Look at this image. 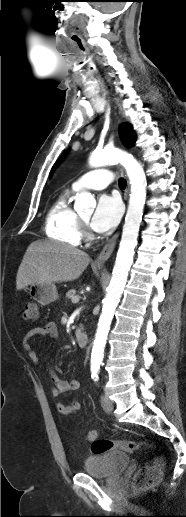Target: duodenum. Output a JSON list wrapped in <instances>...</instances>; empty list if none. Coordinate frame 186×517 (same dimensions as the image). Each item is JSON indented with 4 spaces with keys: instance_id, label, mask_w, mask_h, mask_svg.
<instances>
[{
    "instance_id": "duodenum-1",
    "label": "duodenum",
    "mask_w": 186,
    "mask_h": 517,
    "mask_svg": "<svg viewBox=\"0 0 186 517\" xmlns=\"http://www.w3.org/2000/svg\"><path fill=\"white\" fill-rule=\"evenodd\" d=\"M75 338L79 347L85 348L88 345V335L84 330H76Z\"/></svg>"
}]
</instances>
